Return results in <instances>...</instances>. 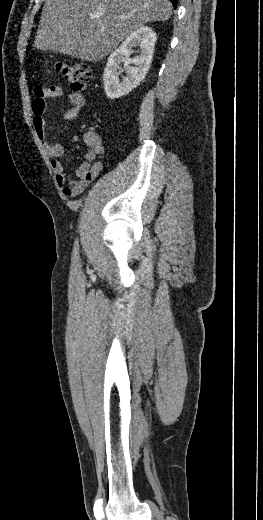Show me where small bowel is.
<instances>
[{
    "label": "small bowel",
    "instance_id": "1",
    "mask_svg": "<svg viewBox=\"0 0 263 520\" xmlns=\"http://www.w3.org/2000/svg\"><path fill=\"white\" fill-rule=\"evenodd\" d=\"M63 95L64 90L61 86L53 85L47 88L36 86L34 88V99L32 102V122L46 155L51 159L52 170L63 194L69 197H75L81 194L102 170V163L99 158L103 152V147L99 135L94 132L86 133L84 138L88 146V151L85 154V159L76 168L75 178L67 174L59 159L64 153V147L60 143L52 142L47 137L44 119L48 100L60 98ZM67 101L69 108L63 113L62 117L66 121H73L78 117L86 100L82 94L72 92L67 95Z\"/></svg>",
    "mask_w": 263,
    "mask_h": 520
}]
</instances>
